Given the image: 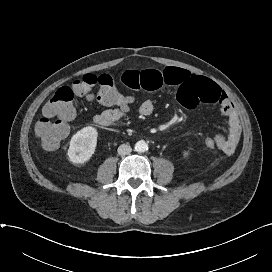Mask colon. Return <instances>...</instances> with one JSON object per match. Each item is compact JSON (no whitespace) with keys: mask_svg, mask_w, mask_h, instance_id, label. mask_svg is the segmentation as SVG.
I'll list each match as a JSON object with an SVG mask.
<instances>
[{"mask_svg":"<svg viewBox=\"0 0 272 272\" xmlns=\"http://www.w3.org/2000/svg\"><path fill=\"white\" fill-rule=\"evenodd\" d=\"M98 88L97 93L94 89ZM97 98L104 106L130 109L134 97L118 91L114 79L108 74H85L76 79L71 86L60 87L51 99L44 105L43 117L36 123L35 134L40 139L43 149L53 151L58 148L61 141L68 135V122L75 115V98ZM54 118H56L54 120ZM205 146L216 148L213 138H206Z\"/></svg>","mask_w":272,"mask_h":272,"instance_id":"colon-1","label":"colon"}]
</instances>
